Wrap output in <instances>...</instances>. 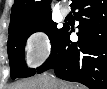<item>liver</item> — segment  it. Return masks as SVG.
Here are the masks:
<instances>
[{
    "instance_id": "6515ba94",
    "label": "liver",
    "mask_w": 107,
    "mask_h": 89,
    "mask_svg": "<svg viewBox=\"0 0 107 89\" xmlns=\"http://www.w3.org/2000/svg\"><path fill=\"white\" fill-rule=\"evenodd\" d=\"M8 89H85L82 85H74L48 74L34 76L25 81L17 82Z\"/></svg>"
}]
</instances>
